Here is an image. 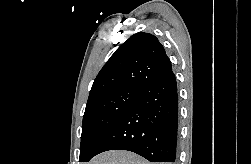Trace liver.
Listing matches in <instances>:
<instances>
[{"mask_svg": "<svg viewBox=\"0 0 251 164\" xmlns=\"http://www.w3.org/2000/svg\"><path fill=\"white\" fill-rule=\"evenodd\" d=\"M88 164H150V163L132 152L108 151L96 156Z\"/></svg>", "mask_w": 251, "mask_h": 164, "instance_id": "liver-1", "label": "liver"}]
</instances>
